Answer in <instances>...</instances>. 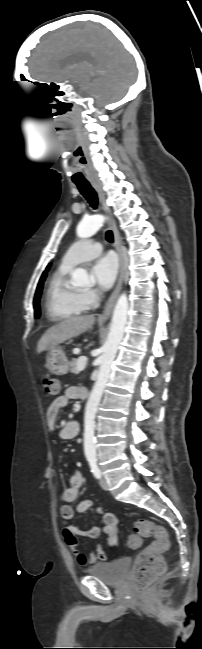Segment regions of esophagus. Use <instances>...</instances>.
Listing matches in <instances>:
<instances>
[{"instance_id": "34e87169", "label": "esophagus", "mask_w": 202, "mask_h": 649, "mask_svg": "<svg viewBox=\"0 0 202 649\" xmlns=\"http://www.w3.org/2000/svg\"><path fill=\"white\" fill-rule=\"evenodd\" d=\"M91 185L96 190V192L98 193V196H99L100 203H101L103 211L106 214H108L109 216H111V209L106 203L105 195H104L100 185L97 184L95 181H92ZM109 225H110V228H111V230L113 232V235H114L115 248H116V251H117L118 256H119L120 269H119V277H118L117 285H116L113 293L111 294L110 298L108 299V301H107V303H106V305L104 307L103 313H102V316L104 318L109 317L111 315V313H112V310L114 308L115 302L117 300V297L119 295V292H120V289H121V286H122V281H123V276H124V262H123V255H122V249H121V238H120L119 232H118V230L116 228V225H115L114 221L111 218H110V221H109Z\"/></svg>"}]
</instances>
